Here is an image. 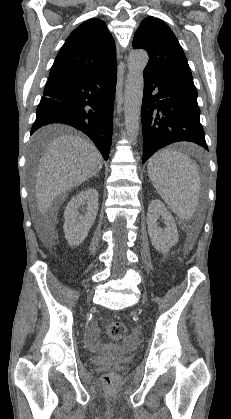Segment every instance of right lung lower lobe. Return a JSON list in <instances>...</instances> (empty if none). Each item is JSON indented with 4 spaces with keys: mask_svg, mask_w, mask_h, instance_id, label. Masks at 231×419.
Segmentation results:
<instances>
[{
    "mask_svg": "<svg viewBox=\"0 0 231 419\" xmlns=\"http://www.w3.org/2000/svg\"><path fill=\"white\" fill-rule=\"evenodd\" d=\"M116 81L117 66L95 75L49 80L31 134L47 124L72 125L88 135L107 160Z\"/></svg>",
    "mask_w": 231,
    "mask_h": 419,
    "instance_id": "98d812e1",
    "label": "right lung lower lobe"
}]
</instances>
